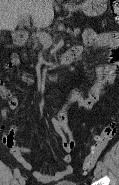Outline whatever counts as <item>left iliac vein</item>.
Listing matches in <instances>:
<instances>
[{
    "instance_id": "4c4485c4",
    "label": "left iliac vein",
    "mask_w": 119,
    "mask_h": 185,
    "mask_svg": "<svg viewBox=\"0 0 119 185\" xmlns=\"http://www.w3.org/2000/svg\"><path fill=\"white\" fill-rule=\"evenodd\" d=\"M101 171H102V168H100V167H96L95 168V170H94V176H95V178H100V176H101Z\"/></svg>"
}]
</instances>
